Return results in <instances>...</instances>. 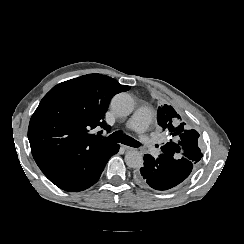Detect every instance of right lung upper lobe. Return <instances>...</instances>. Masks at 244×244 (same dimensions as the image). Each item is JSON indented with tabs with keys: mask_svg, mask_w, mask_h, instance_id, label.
Listing matches in <instances>:
<instances>
[{
	"mask_svg": "<svg viewBox=\"0 0 244 244\" xmlns=\"http://www.w3.org/2000/svg\"><path fill=\"white\" fill-rule=\"evenodd\" d=\"M130 86L101 74L62 82L41 100L31 117L28 139L41 170L68 161L86 151L112 144L90 133L101 126L111 98Z\"/></svg>",
	"mask_w": 244,
	"mask_h": 244,
	"instance_id": "1",
	"label": "right lung upper lobe"
}]
</instances>
